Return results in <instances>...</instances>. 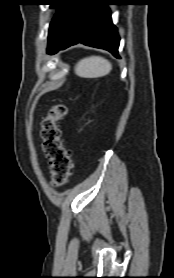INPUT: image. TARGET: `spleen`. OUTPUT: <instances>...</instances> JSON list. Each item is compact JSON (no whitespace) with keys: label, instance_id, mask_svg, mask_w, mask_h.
I'll use <instances>...</instances> for the list:
<instances>
[{"label":"spleen","instance_id":"obj_1","mask_svg":"<svg viewBox=\"0 0 174 278\" xmlns=\"http://www.w3.org/2000/svg\"><path fill=\"white\" fill-rule=\"evenodd\" d=\"M112 69L111 63L103 57L91 56L80 60L75 66V74L83 78H97L107 75Z\"/></svg>","mask_w":174,"mask_h":278}]
</instances>
